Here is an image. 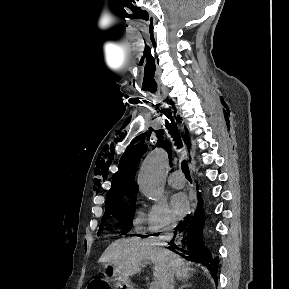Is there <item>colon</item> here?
I'll return each mask as SVG.
<instances>
[{
    "mask_svg": "<svg viewBox=\"0 0 289 289\" xmlns=\"http://www.w3.org/2000/svg\"><path fill=\"white\" fill-rule=\"evenodd\" d=\"M88 289H109V287L103 280L93 279L88 284Z\"/></svg>",
    "mask_w": 289,
    "mask_h": 289,
    "instance_id": "5ec220e1",
    "label": "colon"
}]
</instances>
